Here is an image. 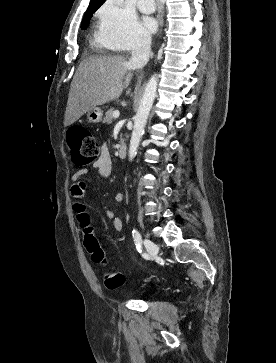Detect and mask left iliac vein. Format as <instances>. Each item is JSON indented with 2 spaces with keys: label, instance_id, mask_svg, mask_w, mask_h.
<instances>
[{
  "label": "left iliac vein",
  "instance_id": "obj_1",
  "mask_svg": "<svg viewBox=\"0 0 276 363\" xmlns=\"http://www.w3.org/2000/svg\"><path fill=\"white\" fill-rule=\"evenodd\" d=\"M144 245H145L148 253L150 254V256H152V257L157 256L158 248H157L155 243H153L152 241H150L148 239H145L144 240Z\"/></svg>",
  "mask_w": 276,
  "mask_h": 363
}]
</instances>
